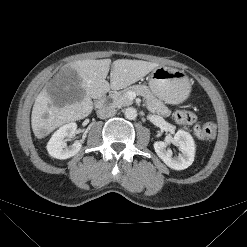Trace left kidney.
I'll list each match as a JSON object with an SVG mask.
<instances>
[{
	"mask_svg": "<svg viewBox=\"0 0 247 247\" xmlns=\"http://www.w3.org/2000/svg\"><path fill=\"white\" fill-rule=\"evenodd\" d=\"M173 140L179 144L181 153L177 157L172 156V152L168 149L167 143L164 141H156L154 149L156 154L162 161L171 169L183 170L188 168L194 161L195 143L192 136L184 131L178 130L173 137Z\"/></svg>",
	"mask_w": 247,
	"mask_h": 247,
	"instance_id": "5707ae66",
	"label": "left kidney"
}]
</instances>
